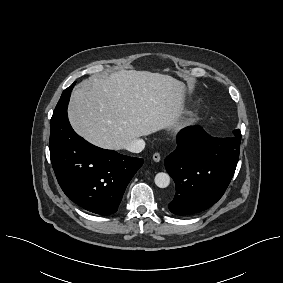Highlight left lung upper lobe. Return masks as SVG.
<instances>
[{
	"mask_svg": "<svg viewBox=\"0 0 283 283\" xmlns=\"http://www.w3.org/2000/svg\"><path fill=\"white\" fill-rule=\"evenodd\" d=\"M233 133H234V136H235V137L241 138V132H240L239 129L234 130Z\"/></svg>",
	"mask_w": 283,
	"mask_h": 283,
	"instance_id": "left-lung-upper-lobe-1",
	"label": "left lung upper lobe"
}]
</instances>
